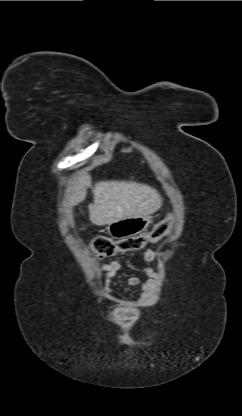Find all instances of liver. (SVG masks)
<instances>
[{"label":"liver","mask_w":242,"mask_h":416,"mask_svg":"<svg viewBox=\"0 0 242 416\" xmlns=\"http://www.w3.org/2000/svg\"><path fill=\"white\" fill-rule=\"evenodd\" d=\"M91 177L83 174L67 189L65 203L78 205L84 201ZM94 202L89 205V219L97 225H107L121 219L149 216L162 206V198L153 187L134 181H101L95 183Z\"/></svg>","instance_id":"6515ba94"}]
</instances>
